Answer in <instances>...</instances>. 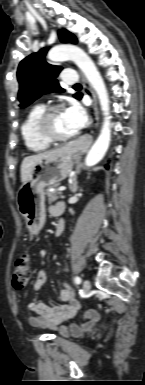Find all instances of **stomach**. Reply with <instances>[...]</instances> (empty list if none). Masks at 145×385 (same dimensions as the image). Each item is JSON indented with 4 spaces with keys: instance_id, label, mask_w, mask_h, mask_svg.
I'll return each instance as SVG.
<instances>
[{
    "instance_id": "0dacf381",
    "label": "stomach",
    "mask_w": 145,
    "mask_h": 385,
    "mask_svg": "<svg viewBox=\"0 0 145 385\" xmlns=\"http://www.w3.org/2000/svg\"><path fill=\"white\" fill-rule=\"evenodd\" d=\"M73 161L70 147L51 150L36 163L28 181L20 186L16 196L17 205L26 219L31 237L37 235L45 223V188L64 180L72 171Z\"/></svg>"
}]
</instances>
